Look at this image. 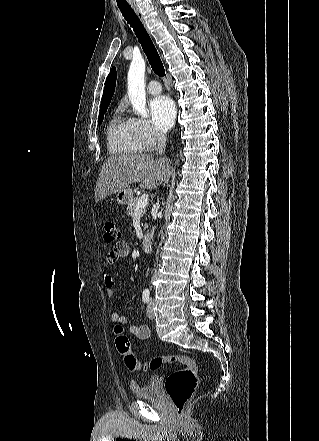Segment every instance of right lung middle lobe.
<instances>
[{"instance_id": "1", "label": "right lung middle lobe", "mask_w": 319, "mask_h": 441, "mask_svg": "<svg viewBox=\"0 0 319 441\" xmlns=\"http://www.w3.org/2000/svg\"><path fill=\"white\" fill-rule=\"evenodd\" d=\"M107 108H108V107H104V108H102V109L100 110V113H99V119H98V124H101V123H102V121H103V117H104L105 112L107 111Z\"/></svg>"}]
</instances>
